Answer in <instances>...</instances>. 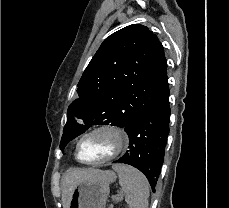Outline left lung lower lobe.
<instances>
[{
	"instance_id": "obj_1",
	"label": "left lung lower lobe",
	"mask_w": 229,
	"mask_h": 208,
	"mask_svg": "<svg viewBox=\"0 0 229 208\" xmlns=\"http://www.w3.org/2000/svg\"><path fill=\"white\" fill-rule=\"evenodd\" d=\"M169 89L147 109L141 111L125 131L129 136V150L115 162L129 164L148 179L152 190L160 175L169 135Z\"/></svg>"
}]
</instances>
